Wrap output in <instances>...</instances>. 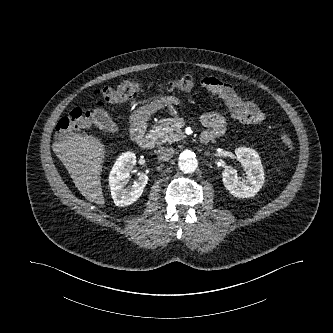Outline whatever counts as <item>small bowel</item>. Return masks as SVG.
I'll list each match as a JSON object with an SVG mask.
<instances>
[{
    "label": "small bowel",
    "mask_w": 333,
    "mask_h": 333,
    "mask_svg": "<svg viewBox=\"0 0 333 333\" xmlns=\"http://www.w3.org/2000/svg\"><path fill=\"white\" fill-rule=\"evenodd\" d=\"M202 83L207 91L219 96L225 102L234 119L245 123H259L264 119V113L257 102L237 95L232 86L222 83L214 77L204 78ZM201 120L205 126L210 128L207 133L212 137L222 134L225 122L220 114L205 113Z\"/></svg>",
    "instance_id": "small-bowel-1"
}]
</instances>
